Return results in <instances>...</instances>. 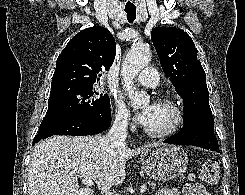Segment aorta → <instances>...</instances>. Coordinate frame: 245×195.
<instances>
[{"mask_svg":"<svg viewBox=\"0 0 245 195\" xmlns=\"http://www.w3.org/2000/svg\"><path fill=\"white\" fill-rule=\"evenodd\" d=\"M151 59L150 49L145 45H135L126 55L121 69L123 85L134 109L149 103L150 97L144 92L136 91L134 78L148 65Z\"/></svg>","mask_w":245,"mask_h":195,"instance_id":"762f6f07","label":"aorta"}]
</instances>
